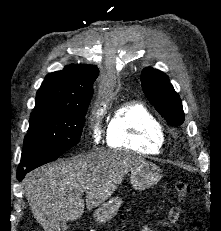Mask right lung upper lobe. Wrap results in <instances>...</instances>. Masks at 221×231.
<instances>
[{"mask_svg":"<svg viewBox=\"0 0 221 231\" xmlns=\"http://www.w3.org/2000/svg\"><path fill=\"white\" fill-rule=\"evenodd\" d=\"M99 74L94 65H70L48 74L36 94L35 108L74 105L90 101Z\"/></svg>","mask_w":221,"mask_h":231,"instance_id":"1","label":"right lung upper lobe"}]
</instances>
